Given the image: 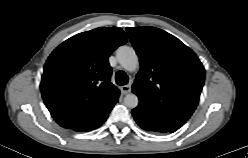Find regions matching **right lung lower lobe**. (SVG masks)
Returning <instances> with one entry per match:
<instances>
[{"label":"right lung lower lobe","mask_w":248,"mask_h":158,"mask_svg":"<svg viewBox=\"0 0 248 158\" xmlns=\"http://www.w3.org/2000/svg\"><path fill=\"white\" fill-rule=\"evenodd\" d=\"M114 105H112L108 109V111L105 112L102 116H100L97 119H94V120H92V121H90V122H88V123H86V124H84L82 126L73 128V130H75V131H91V130H94V129L100 127L105 122V120L107 119L108 114L111 111V109L114 107Z\"/></svg>","instance_id":"98d812e1"}]
</instances>
